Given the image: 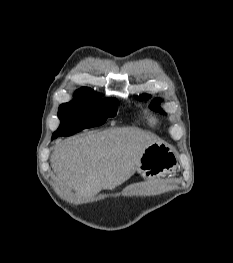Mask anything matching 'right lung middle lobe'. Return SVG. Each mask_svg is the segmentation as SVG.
<instances>
[{
  "mask_svg": "<svg viewBox=\"0 0 233 263\" xmlns=\"http://www.w3.org/2000/svg\"><path fill=\"white\" fill-rule=\"evenodd\" d=\"M117 110L116 98H74L59 107L61 124L52 138L70 136L85 128L100 126L108 118L114 117Z\"/></svg>",
  "mask_w": 233,
  "mask_h": 263,
  "instance_id": "dd1d6c3e",
  "label": "right lung middle lobe"
}]
</instances>
